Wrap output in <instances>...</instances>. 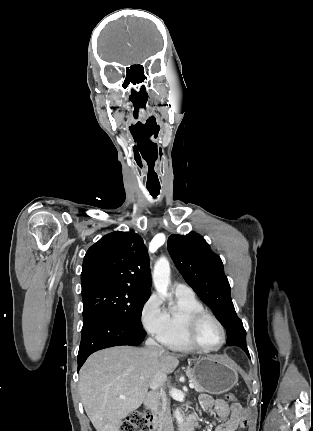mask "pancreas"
I'll return each mask as SVG.
<instances>
[{
    "mask_svg": "<svg viewBox=\"0 0 313 431\" xmlns=\"http://www.w3.org/2000/svg\"><path fill=\"white\" fill-rule=\"evenodd\" d=\"M187 376L189 377L190 382H192V383L195 385L194 389H195L197 392H202V391H203V388H202V387L200 386V384L197 382V380L195 379V377H193V376L191 375V373H190V371H189V370H187Z\"/></svg>",
    "mask_w": 313,
    "mask_h": 431,
    "instance_id": "pancreas-1",
    "label": "pancreas"
}]
</instances>
